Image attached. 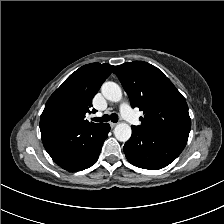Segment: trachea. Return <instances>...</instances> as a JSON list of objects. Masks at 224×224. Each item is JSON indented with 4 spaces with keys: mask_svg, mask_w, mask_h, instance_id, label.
Instances as JSON below:
<instances>
[{
    "mask_svg": "<svg viewBox=\"0 0 224 224\" xmlns=\"http://www.w3.org/2000/svg\"><path fill=\"white\" fill-rule=\"evenodd\" d=\"M93 121L95 122H107L109 120H111L112 122H118V115L113 113L111 115H103L101 118H98V117H95V118H92Z\"/></svg>",
    "mask_w": 224,
    "mask_h": 224,
    "instance_id": "3493384b",
    "label": "trachea"
}]
</instances>
